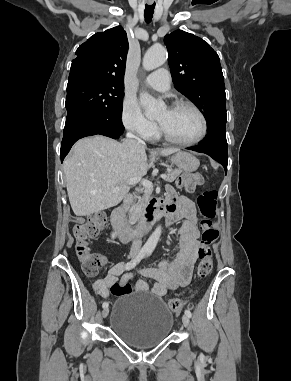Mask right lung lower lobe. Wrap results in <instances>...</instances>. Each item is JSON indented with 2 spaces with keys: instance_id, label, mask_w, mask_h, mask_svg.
Instances as JSON below:
<instances>
[{
  "instance_id": "1",
  "label": "right lung lower lobe",
  "mask_w": 291,
  "mask_h": 381,
  "mask_svg": "<svg viewBox=\"0 0 291 381\" xmlns=\"http://www.w3.org/2000/svg\"><path fill=\"white\" fill-rule=\"evenodd\" d=\"M123 132L124 127L121 120L110 119L94 124H87L86 121L80 117L72 116L66 118L60 151L61 162L70 151L72 145L83 137L100 134L117 139Z\"/></svg>"
}]
</instances>
